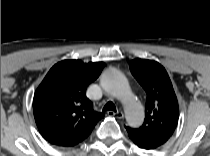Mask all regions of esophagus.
<instances>
[{
  "mask_svg": "<svg viewBox=\"0 0 210 156\" xmlns=\"http://www.w3.org/2000/svg\"><path fill=\"white\" fill-rule=\"evenodd\" d=\"M116 114L120 115V116H123V111L121 109H117Z\"/></svg>",
  "mask_w": 210,
  "mask_h": 156,
  "instance_id": "34e87169",
  "label": "esophagus"
}]
</instances>
